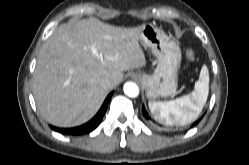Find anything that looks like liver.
Listing matches in <instances>:
<instances>
[{"mask_svg": "<svg viewBox=\"0 0 249 165\" xmlns=\"http://www.w3.org/2000/svg\"><path fill=\"white\" fill-rule=\"evenodd\" d=\"M142 26L116 27L93 17L60 25L43 44L33 76V95L42 117L58 127L89 121L122 81L124 71L146 65L139 44ZM104 79L112 80L113 87L104 88Z\"/></svg>", "mask_w": 249, "mask_h": 165, "instance_id": "liver-1", "label": "liver"}]
</instances>
